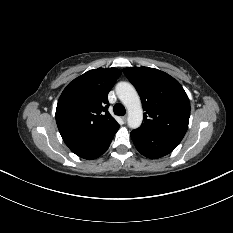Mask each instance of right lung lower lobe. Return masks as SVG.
<instances>
[{"instance_id":"1","label":"right lung lower lobe","mask_w":233,"mask_h":233,"mask_svg":"<svg viewBox=\"0 0 233 233\" xmlns=\"http://www.w3.org/2000/svg\"><path fill=\"white\" fill-rule=\"evenodd\" d=\"M119 129V126L114 130L103 134L97 139L90 141L88 143L79 144L69 147L70 150L84 159H95L101 156L108 149L115 133Z\"/></svg>"}]
</instances>
